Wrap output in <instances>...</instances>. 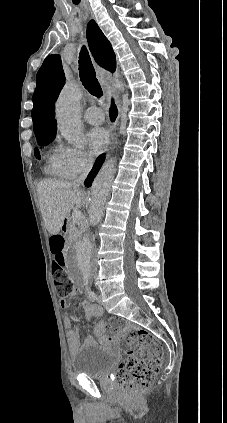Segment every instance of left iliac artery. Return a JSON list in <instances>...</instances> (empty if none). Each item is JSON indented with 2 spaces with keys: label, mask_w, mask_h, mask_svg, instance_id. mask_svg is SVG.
Returning <instances> with one entry per match:
<instances>
[{
  "label": "left iliac artery",
  "mask_w": 227,
  "mask_h": 423,
  "mask_svg": "<svg viewBox=\"0 0 227 423\" xmlns=\"http://www.w3.org/2000/svg\"><path fill=\"white\" fill-rule=\"evenodd\" d=\"M85 289H86V295L88 296V298H89L91 301H95V300L97 299V296H96V294L94 293V291H92V290L90 289V284H89V283H86V284H85Z\"/></svg>",
  "instance_id": "44dca946"
}]
</instances>
